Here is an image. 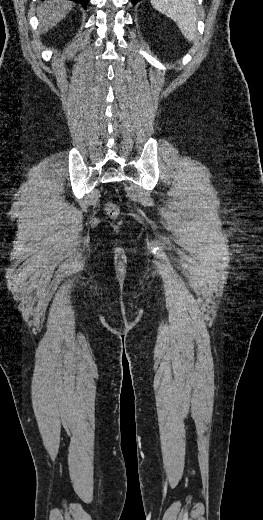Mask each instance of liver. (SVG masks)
Instances as JSON below:
<instances>
[{
    "label": "liver",
    "instance_id": "obj_1",
    "mask_svg": "<svg viewBox=\"0 0 263 520\" xmlns=\"http://www.w3.org/2000/svg\"><path fill=\"white\" fill-rule=\"evenodd\" d=\"M72 8L73 3L68 0H45L36 9L39 19V32L45 33L56 26Z\"/></svg>",
    "mask_w": 263,
    "mask_h": 520
}]
</instances>
